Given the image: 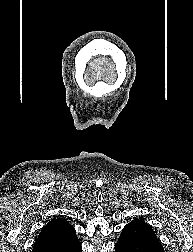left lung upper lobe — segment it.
<instances>
[{"label": "left lung upper lobe", "instance_id": "1", "mask_svg": "<svg viewBox=\"0 0 193 252\" xmlns=\"http://www.w3.org/2000/svg\"><path fill=\"white\" fill-rule=\"evenodd\" d=\"M132 222H144V221H141V220H134V221H132ZM131 222V223H132Z\"/></svg>", "mask_w": 193, "mask_h": 252}]
</instances>
